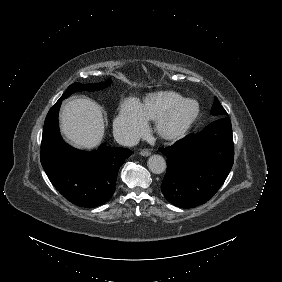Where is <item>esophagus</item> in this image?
I'll use <instances>...</instances> for the list:
<instances>
[{"mask_svg":"<svg viewBox=\"0 0 282 282\" xmlns=\"http://www.w3.org/2000/svg\"><path fill=\"white\" fill-rule=\"evenodd\" d=\"M150 154H151V152L148 151V150H142V151L140 152V155H141V156H144V157H148Z\"/></svg>","mask_w":282,"mask_h":282,"instance_id":"1","label":"esophagus"}]
</instances>
